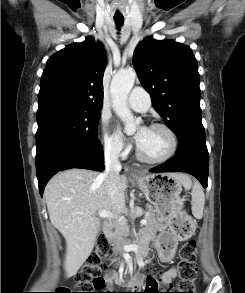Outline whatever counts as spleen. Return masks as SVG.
I'll return each mask as SVG.
<instances>
[{"instance_id":"spleen-1","label":"spleen","mask_w":245,"mask_h":293,"mask_svg":"<svg viewBox=\"0 0 245 293\" xmlns=\"http://www.w3.org/2000/svg\"><path fill=\"white\" fill-rule=\"evenodd\" d=\"M191 196L192 214L195 218L201 219L203 216V210L205 205V195L203 192V188L199 183L194 182Z\"/></svg>"}]
</instances>
